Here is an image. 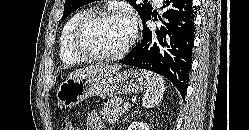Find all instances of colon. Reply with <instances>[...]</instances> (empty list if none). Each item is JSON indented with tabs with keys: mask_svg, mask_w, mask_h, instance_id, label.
I'll return each instance as SVG.
<instances>
[{
	"mask_svg": "<svg viewBox=\"0 0 249 130\" xmlns=\"http://www.w3.org/2000/svg\"><path fill=\"white\" fill-rule=\"evenodd\" d=\"M61 130H80L79 127L71 120L64 119L61 122Z\"/></svg>",
	"mask_w": 249,
	"mask_h": 130,
	"instance_id": "1",
	"label": "colon"
}]
</instances>
